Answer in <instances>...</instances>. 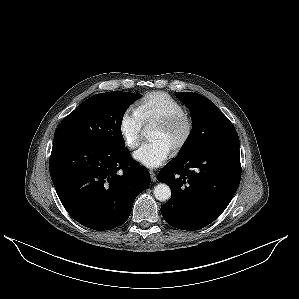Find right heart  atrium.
Instances as JSON below:
<instances>
[{
    "label": "right heart atrium",
    "instance_id": "right-heart-atrium-1",
    "mask_svg": "<svg viewBox=\"0 0 299 299\" xmlns=\"http://www.w3.org/2000/svg\"><path fill=\"white\" fill-rule=\"evenodd\" d=\"M144 128V122L136 109L128 108L123 112L119 131L128 148L133 149L139 144Z\"/></svg>",
    "mask_w": 299,
    "mask_h": 299
}]
</instances>
